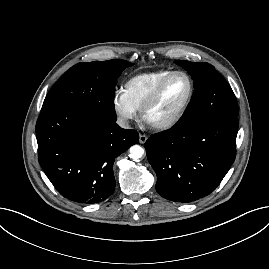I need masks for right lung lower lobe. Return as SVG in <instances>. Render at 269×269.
<instances>
[{"label":"right lung lower lobe","mask_w":269,"mask_h":269,"mask_svg":"<svg viewBox=\"0 0 269 269\" xmlns=\"http://www.w3.org/2000/svg\"><path fill=\"white\" fill-rule=\"evenodd\" d=\"M69 108L40 113L36 124L38 159L65 198L80 203L105 201L114 191L115 158L136 144L135 130Z\"/></svg>","instance_id":"1"}]
</instances>
